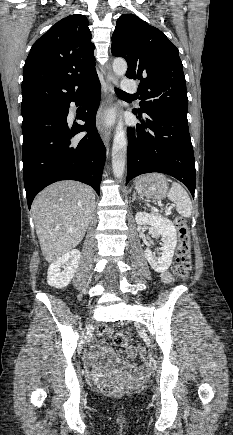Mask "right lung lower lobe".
Listing matches in <instances>:
<instances>
[{
  "mask_svg": "<svg viewBox=\"0 0 233 435\" xmlns=\"http://www.w3.org/2000/svg\"><path fill=\"white\" fill-rule=\"evenodd\" d=\"M100 96V83L96 76L71 99L70 102L76 105L84 102L80 115L84 125L68 126L70 102L22 123L23 177L29 209L38 192L60 180L83 182L100 194L106 157V149L95 124ZM82 131L88 134L78 143H72L71 138Z\"/></svg>",
  "mask_w": 233,
  "mask_h": 435,
  "instance_id": "1",
  "label": "right lung lower lobe"
}]
</instances>
